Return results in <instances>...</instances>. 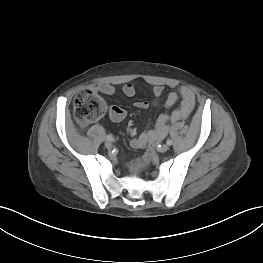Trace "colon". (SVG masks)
<instances>
[{"mask_svg": "<svg viewBox=\"0 0 263 263\" xmlns=\"http://www.w3.org/2000/svg\"><path fill=\"white\" fill-rule=\"evenodd\" d=\"M106 109L105 101L95 90H83L74 99V116L82 125L99 120Z\"/></svg>", "mask_w": 263, "mask_h": 263, "instance_id": "colon-1", "label": "colon"}]
</instances>
